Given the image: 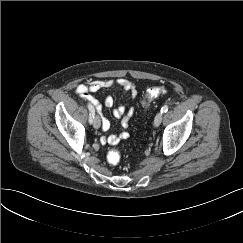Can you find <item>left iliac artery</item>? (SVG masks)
Instances as JSON below:
<instances>
[{
	"label": "left iliac artery",
	"instance_id": "obj_1",
	"mask_svg": "<svg viewBox=\"0 0 243 243\" xmlns=\"http://www.w3.org/2000/svg\"><path fill=\"white\" fill-rule=\"evenodd\" d=\"M168 111V105H164L162 108H161V113H166Z\"/></svg>",
	"mask_w": 243,
	"mask_h": 243
}]
</instances>
